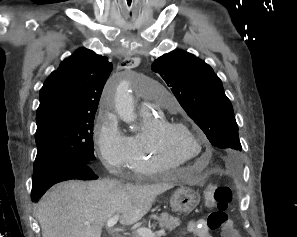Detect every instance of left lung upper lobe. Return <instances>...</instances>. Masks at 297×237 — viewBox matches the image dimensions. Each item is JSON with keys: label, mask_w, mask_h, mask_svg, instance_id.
I'll list each match as a JSON object with an SVG mask.
<instances>
[{"label": "left lung upper lobe", "mask_w": 297, "mask_h": 237, "mask_svg": "<svg viewBox=\"0 0 297 237\" xmlns=\"http://www.w3.org/2000/svg\"><path fill=\"white\" fill-rule=\"evenodd\" d=\"M152 70L164 79L187 114L227 161L242 150L238 125L220 78L193 54L175 50L159 57Z\"/></svg>", "instance_id": "obj_1"}]
</instances>
